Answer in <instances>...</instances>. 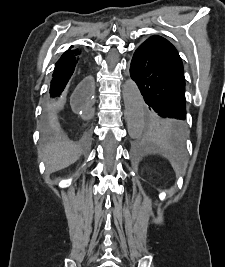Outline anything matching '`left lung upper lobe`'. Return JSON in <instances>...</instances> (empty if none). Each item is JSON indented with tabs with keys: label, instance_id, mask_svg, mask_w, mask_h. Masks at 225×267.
Instances as JSON below:
<instances>
[{
	"label": "left lung upper lobe",
	"instance_id": "left-lung-upper-lobe-1",
	"mask_svg": "<svg viewBox=\"0 0 225 267\" xmlns=\"http://www.w3.org/2000/svg\"><path fill=\"white\" fill-rule=\"evenodd\" d=\"M147 126L150 131L157 132L177 142H180L183 139L186 131L185 122H183L182 126L184 135L182 138L177 137L173 132V122L163 116H157L152 110L147 114Z\"/></svg>",
	"mask_w": 225,
	"mask_h": 267
}]
</instances>
